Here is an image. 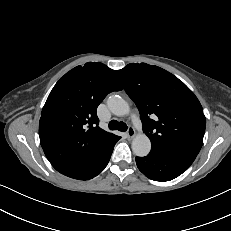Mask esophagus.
<instances>
[{
  "instance_id": "34e87169",
  "label": "esophagus",
  "mask_w": 231,
  "mask_h": 231,
  "mask_svg": "<svg viewBox=\"0 0 231 231\" xmlns=\"http://www.w3.org/2000/svg\"><path fill=\"white\" fill-rule=\"evenodd\" d=\"M126 136L129 138V139H132L134 136H135V130L133 127H129L128 130H127V133H126Z\"/></svg>"
}]
</instances>
